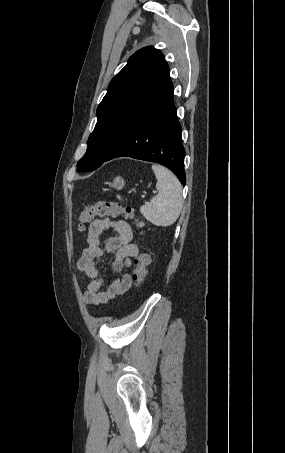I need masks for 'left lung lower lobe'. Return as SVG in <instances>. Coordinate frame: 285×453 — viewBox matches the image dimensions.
<instances>
[{"mask_svg": "<svg viewBox=\"0 0 285 453\" xmlns=\"http://www.w3.org/2000/svg\"><path fill=\"white\" fill-rule=\"evenodd\" d=\"M174 105V87L168 75L161 89L134 119L104 162L131 157L159 163L173 171L185 185V150Z\"/></svg>", "mask_w": 285, "mask_h": 453, "instance_id": "left-lung-lower-lobe-1", "label": "left lung lower lobe"}]
</instances>
